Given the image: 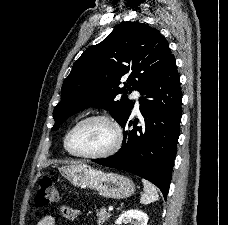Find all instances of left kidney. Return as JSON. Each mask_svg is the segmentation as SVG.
<instances>
[{
  "label": "left kidney",
  "mask_w": 228,
  "mask_h": 225,
  "mask_svg": "<svg viewBox=\"0 0 228 225\" xmlns=\"http://www.w3.org/2000/svg\"><path fill=\"white\" fill-rule=\"evenodd\" d=\"M122 223H130V225H147L148 215L138 209H131V211H125L123 215L118 217L115 221V225H122Z\"/></svg>",
  "instance_id": "obj_1"
}]
</instances>
